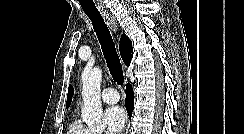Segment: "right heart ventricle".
I'll use <instances>...</instances> for the list:
<instances>
[{
	"label": "right heart ventricle",
	"mask_w": 244,
	"mask_h": 134,
	"mask_svg": "<svg viewBox=\"0 0 244 134\" xmlns=\"http://www.w3.org/2000/svg\"><path fill=\"white\" fill-rule=\"evenodd\" d=\"M66 134H94V133L88 128H86L80 121L75 119L69 124Z\"/></svg>",
	"instance_id": "right-heart-ventricle-1"
}]
</instances>
